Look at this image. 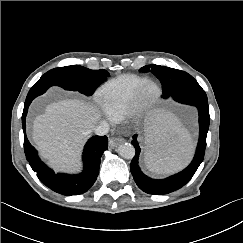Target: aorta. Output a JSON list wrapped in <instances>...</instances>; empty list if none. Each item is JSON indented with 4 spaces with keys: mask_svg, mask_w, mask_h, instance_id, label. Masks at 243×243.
Returning a JSON list of instances; mask_svg holds the SVG:
<instances>
[{
    "mask_svg": "<svg viewBox=\"0 0 243 243\" xmlns=\"http://www.w3.org/2000/svg\"><path fill=\"white\" fill-rule=\"evenodd\" d=\"M117 152L125 159H132L135 155V148L130 143H124L118 147Z\"/></svg>",
    "mask_w": 243,
    "mask_h": 243,
    "instance_id": "obj_1",
    "label": "aorta"
}]
</instances>
